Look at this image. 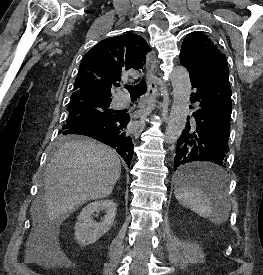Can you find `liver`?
<instances>
[{
	"label": "liver",
	"instance_id": "obj_1",
	"mask_svg": "<svg viewBox=\"0 0 263 275\" xmlns=\"http://www.w3.org/2000/svg\"><path fill=\"white\" fill-rule=\"evenodd\" d=\"M120 174L113 150L89 140H71L48 164L44 195L32 204L31 214L38 223L58 227L85 202L109 196Z\"/></svg>",
	"mask_w": 263,
	"mask_h": 275
}]
</instances>
